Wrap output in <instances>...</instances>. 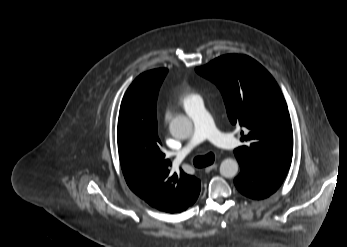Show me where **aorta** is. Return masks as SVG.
I'll use <instances>...</instances> for the list:
<instances>
[{"instance_id":"762f6f07","label":"aorta","mask_w":347,"mask_h":247,"mask_svg":"<svg viewBox=\"0 0 347 247\" xmlns=\"http://www.w3.org/2000/svg\"><path fill=\"white\" fill-rule=\"evenodd\" d=\"M192 122L186 116L179 115L172 119L169 124V130L173 137L186 139L192 133ZM238 162L232 158H226L221 162L220 174L226 178L234 177L238 172Z\"/></svg>"}]
</instances>
